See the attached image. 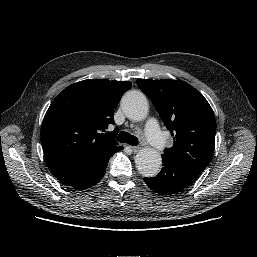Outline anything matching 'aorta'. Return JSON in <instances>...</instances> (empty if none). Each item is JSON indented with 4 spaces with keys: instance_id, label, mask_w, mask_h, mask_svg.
<instances>
[{
    "instance_id": "762f6f07",
    "label": "aorta",
    "mask_w": 257,
    "mask_h": 257,
    "mask_svg": "<svg viewBox=\"0 0 257 257\" xmlns=\"http://www.w3.org/2000/svg\"><path fill=\"white\" fill-rule=\"evenodd\" d=\"M121 107L124 114L131 120H144L149 111V103L146 96L139 91L127 92L122 100ZM137 170L145 177H154L159 173L162 158L153 148L141 149L135 158Z\"/></svg>"
}]
</instances>
